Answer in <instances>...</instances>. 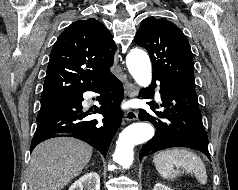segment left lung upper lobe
I'll list each match as a JSON object with an SVG mask.
<instances>
[{
	"mask_svg": "<svg viewBox=\"0 0 238 190\" xmlns=\"http://www.w3.org/2000/svg\"><path fill=\"white\" fill-rule=\"evenodd\" d=\"M135 42L148 50L153 77L195 87L191 48L175 24L166 19L147 17L140 25Z\"/></svg>",
	"mask_w": 238,
	"mask_h": 190,
	"instance_id": "obj_1",
	"label": "left lung upper lobe"
}]
</instances>
